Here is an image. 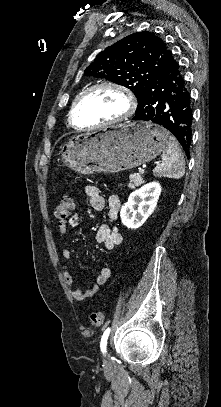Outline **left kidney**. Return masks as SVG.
<instances>
[{
  "instance_id": "left-kidney-1",
  "label": "left kidney",
  "mask_w": 221,
  "mask_h": 407,
  "mask_svg": "<svg viewBox=\"0 0 221 407\" xmlns=\"http://www.w3.org/2000/svg\"><path fill=\"white\" fill-rule=\"evenodd\" d=\"M160 193L161 185L158 182H150L132 192L120 211L122 223L131 229L142 226L154 211Z\"/></svg>"
}]
</instances>
